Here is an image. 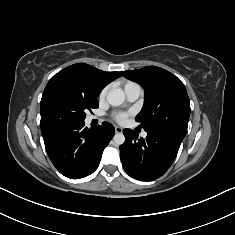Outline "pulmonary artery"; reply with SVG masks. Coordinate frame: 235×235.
I'll return each instance as SVG.
<instances>
[{
  "label": "pulmonary artery",
  "mask_w": 235,
  "mask_h": 235,
  "mask_svg": "<svg viewBox=\"0 0 235 235\" xmlns=\"http://www.w3.org/2000/svg\"><path fill=\"white\" fill-rule=\"evenodd\" d=\"M124 90H125L126 98L129 102L136 101L141 94V89H140L139 85H129V86L125 87ZM141 135H142V137H146L147 133L142 132Z\"/></svg>",
  "instance_id": "1"
}]
</instances>
